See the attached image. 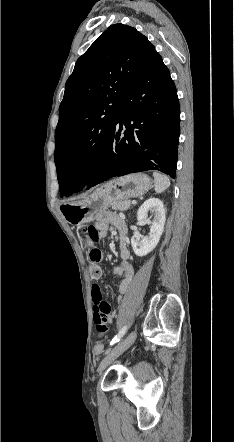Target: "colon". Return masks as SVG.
Returning a JSON list of instances; mask_svg holds the SVG:
<instances>
[{
	"label": "colon",
	"instance_id": "obj_1",
	"mask_svg": "<svg viewBox=\"0 0 234 442\" xmlns=\"http://www.w3.org/2000/svg\"><path fill=\"white\" fill-rule=\"evenodd\" d=\"M82 232L86 235V246L91 260L90 275L93 279H99L102 275L101 267L98 264L101 258V252L95 247V242L99 239L98 231L94 226H88L85 227ZM92 301L94 304L93 314H107L111 309L109 303L103 300L102 293L98 287H94L92 290ZM103 350V342L98 340L94 347V355L97 356V360H100Z\"/></svg>",
	"mask_w": 234,
	"mask_h": 442
}]
</instances>
